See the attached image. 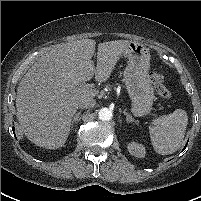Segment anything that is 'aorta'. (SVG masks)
Segmentation results:
<instances>
[{
  "label": "aorta",
  "mask_w": 201,
  "mask_h": 201,
  "mask_svg": "<svg viewBox=\"0 0 201 201\" xmlns=\"http://www.w3.org/2000/svg\"><path fill=\"white\" fill-rule=\"evenodd\" d=\"M98 116L99 119L102 121H109L112 118L113 114L108 108H102L99 110Z\"/></svg>",
  "instance_id": "aorta-1"
}]
</instances>
